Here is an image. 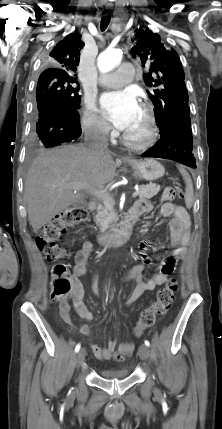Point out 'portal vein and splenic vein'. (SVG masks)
I'll list each match as a JSON object with an SVG mask.
<instances>
[{
	"instance_id": "18ae733b",
	"label": "portal vein and splenic vein",
	"mask_w": 222,
	"mask_h": 429,
	"mask_svg": "<svg viewBox=\"0 0 222 429\" xmlns=\"http://www.w3.org/2000/svg\"><path fill=\"white\" fill-rule=\"evenodd\" d=\"M73 187H74V189H85V188H88V189H90V193L93 196L97 197V198H101V199H108V198H110V196L106 193L105 190H103V189H91L90 186H88L87 184L82 183V182L75 184ZM137 196H138V191H135L132 194V197L136 198Z\"/></svg>"
}]
</instances>
